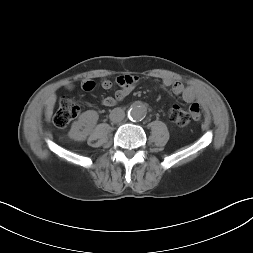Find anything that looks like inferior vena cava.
Masks as SVG:
<instances>
[{
	"mask_svg": "<svg viewBox=\"0 0 253 253\" xmlns=\"http://www.w3.org/2000/svg\"><path fill=\"white\" fill-rule=\"evenodd\" d=\"M124 117L125 112L121 108H114L110 113V120L115 123L122 121Z\"/></svg>",
	"mask_w": 253,
	"mask_h": 253,
	"instance_id": "obj_1",
	"label": "inferior vena cava"
}]
</instances>
